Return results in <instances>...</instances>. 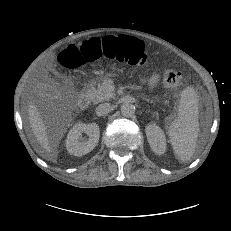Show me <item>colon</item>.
Here are the masks:
<instances>
[{
	"label": "colon",
	"mask_w": 231,
	"mask_h": 231,
	"mask_svg": "<svg viewBox=\"0 0 231 231\" xmlns=\"http://www.w3.org/2000/svg\"><path fill=\"white\" fill-rule=\"evenodd\" d=\"M100 58L133 66H147L152 62L145 53L142 41L132 36L120 35L90 39L80 48L70 47L59 55L58 63L62 68L72 69ZM163 80L167 87L175 88L181 82V73L174 68H167Z\"/></svg>",
	"instance_id": "1"
}]
</instances>
